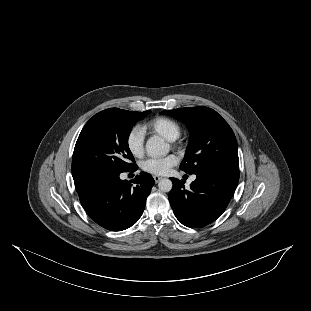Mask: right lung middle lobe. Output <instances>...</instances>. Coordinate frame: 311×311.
I'll return each instance as SVG.
<instances>
[{"mask_svg":"<svg viewBox=\"0 0 311 311\" xmlns=\"http://www.w3.org/2000/svg\"><path fill=\"white\" fill-rule=\"evenodd\" d=\"M150 112L110 108L95 114L77 139L72 158L73 177L91 171L122 173L136 169L128 137L135 123Z\"/></svg>","mask_w":311,"mask_h":311,"instance_id":"right-lung-middle-lobe-1","label":"right lung middle lobe"}]
</instances>
